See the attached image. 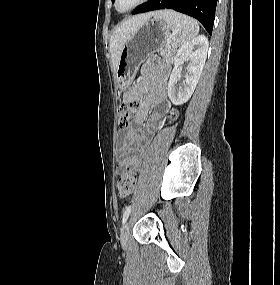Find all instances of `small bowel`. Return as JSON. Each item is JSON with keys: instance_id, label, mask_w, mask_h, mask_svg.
Wrapping results in <instances>:
<instances>
[{"instance_id": "small-bowel-1", "label": "small bowel", "mask_w": 280, "mask_h": 285, "mask_svg": "<svg viewBox=\"0 0 280 285\" xmlns=\"http://www.w3.org/2000/svg\"><path fill=\"white\" fill-rule=\"evenodd\" d=\"M171 75L168 66L154 73L150 65L142 78L127 92L123 98L127 102H139L136 114V122L143 123L148 114L151 105H160L161 108L155 114V119H162L170 111V103L167 98V85ZM157 128L154 121L148 122L141 134L123 131L119 133L118 142V165L117 172L127 171L136 174L139 170V154L144 150L148 142V137L152 135Z\"/></svg>"}]
</instances>
